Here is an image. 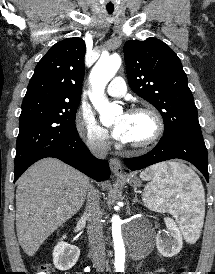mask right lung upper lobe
I'll use <instances>...</instances> for the list:
<instances>
[{
	"mask_svg": "<svg viewBox=\"0 0 215 274\" xmlns=\"http://www.w3.org/2000/svg\"><path fill=\"white\" fill-rule=\"evenodd\" d=\"M85 48L81 38H67L53 45L35 67L23 103L80 102Z\"/></svg>",
	"mask_w": 215,
	"mask_h": 274,
	"instance_id": "right-lung-upper-lobe-1",
	"label": "right lung upper lobe"
}]
</instances>
